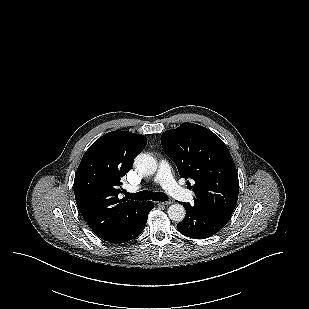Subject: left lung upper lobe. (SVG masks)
<instances>
[{"label":"left lung upper lobe","instance_id":"obj_1","mask_svg":"<svg viewBox=\"0 0 309 309\" xmlns=\"http://www.w3.org/2000/svg\"><path fill=\"white\" fill-rule=\"evenodd\" d=\"M164 152L176 164L179 174L191 178L196 198L231 215L239 193L235 164L222 140L207 128L183 123L161 136ZM189 184V182H187Z\"/></svg>","mask_w":309,"mask_h":309}]
</instances>
